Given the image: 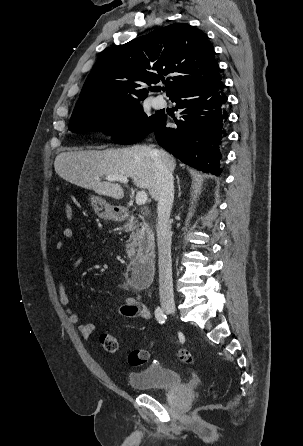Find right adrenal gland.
Returning a JSON list of instances; mask_svg holds the SVG:
<instances>
[{"label": "right adrenal gland", "instance_id": "1", "mask_svg": "<svg viewBox=\"0 0 303 446\" xmlns=\"http://www.w3.org/2000/svg\"><path fill=\"white\" fill-rule=\"evenodd\" d=\"M176 179H177V186H178V196L180 197L181 187H180V179H179L178 175H176Z\"/></svg>", "mask_w": 303, "mask_h": 446}]
</instances>
